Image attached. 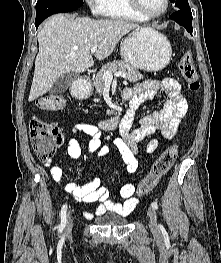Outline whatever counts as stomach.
<instances>
[{"label":"stomach","instance_id":"1","mask_svg":"<svg viewBox=\"0 0 221 263\" xmlns=\"http://www.w3.org/2000/svg\"><path fill=\"white\" fill-rule=\"evenodd\" d=\"M121 55L134 68L157 72L169 64L172 48L167 37L154 29L135 30L122 42Z\"/></svg>","mask_w":221,"mask_h":263}]
</instances>
